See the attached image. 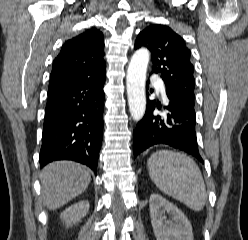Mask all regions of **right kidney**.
Returning a JSON list of instances; mask_svg holds the SVG:
<instances>
[{"mask_svg": "<svg viewBox=\"0 0 248 240\" xmlns=\"http://www.w3.org/2000/svg\"><path fill=\"white\" fill-rule=\"evenodd\" d=\"M89 210V202L86 200L79 201L65 209L60 218L63 222H65L66 227L72 226L80 222L81 218H83Z\"/></svg>", "mask_w": 248, "mask_h": 240, "instance_id": "obj_1", "label": "right kidney"}]
</instances>
